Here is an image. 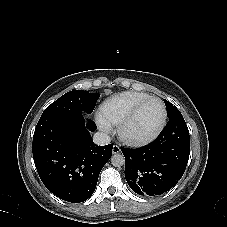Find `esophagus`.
Segmentation results:
<instances>
[{
    "label": "esophagus",
    "instance_id": "obj_1",
    "mask_svg": "<svg viewBox=\"0 0 227 227\" xmlns=\"http://www.w3.org/2000/svg\"><path fill=\"white\" fill-rule=\"evenodd\" d=\"M113 154H118L121 152L120 146L114 145L112 149Z\"/></svg>",
    "mask_w": 227,
    "mask_h": 227
}]
</instances>
